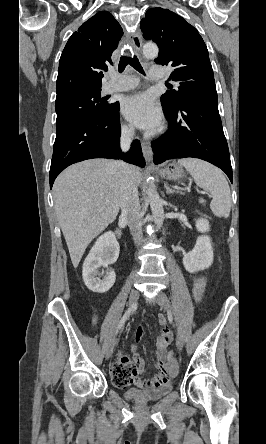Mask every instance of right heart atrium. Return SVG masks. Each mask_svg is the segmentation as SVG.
I'll list each match as a JSON object with an SVG mask.
<instances>
[{
    "label": "right heart atrium",
    "instance_id": "obj_1",
    "mask_svg": "<svg viewBox=\"0 0 266 444\" xmlns=\"http://www.w3.org/2000/svg\"><path fill=\"white\" fill-rule=\"evenodd\" d=\"M122 132L126 135H129L131 133V128L128 125L123 124L122 125Z\"/></svg>",
    "mask_w": 266,
    "mask_h": 444
}]
</instances>
